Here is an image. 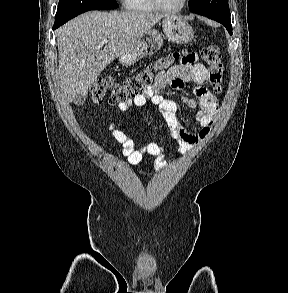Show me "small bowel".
<instances>
[{
  "label": "small bowel",
  "mask_w": 288,
  "mask_h": 293,
  "mask_svg": "<svg viewBox=\"0 0 288 293\" xmlns=\"http://www.w3.org/2000/svg\"><path fill=\"white\" fill-rule=\"evenodd\" d=\"M208 81V72L204 65L198 62L195 54H188L180 61V64L167 72H161L156 76L155 83L134 98L119 104L121 111H126L131 106L143 107L147 102L155 105L168 129L167 136L175 142L184 152H190L199 141L209 133L214 118L218 113L216 97L204 88ZM187 82L197 85L196 98L181 97V101L189 108L195 110L194 120L201 127L197 133L190 132L178 114V105L174 100L166 99L163 91L167 87L174 90H182ZM112 137L120 144L123 156L131 165L139 164L148 154L155 157L154 169L164 167V146L156 142H147L136 146L134 140L125 132L115 127L114 122L108 126Z\"/></svg>",
  "instance_id": "1"
}]
</instances>
